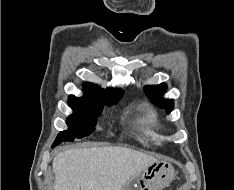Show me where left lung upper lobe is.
Segmentation results:
<instances>
[{
	"label": "left lung upper lobe",
	"mask_w": 234,
	"mask_h": 190,
	"mask_svg": "<svg viewBox=\"0 0 234 190\" xmlns=\"http://www.w3.org/2000/svg\"><path fill=\"white\" fill-rule=\"evenodd\" d=\"M147 96L152 100L157 106L164 108L167 113H170L174 107V101L172 99H164L163 94L166 91V86L164 84L146 86L144 88Z\"/></svg>",
	"instance_id": "left-lung-upper-lobe-1"
}]
</instances>
